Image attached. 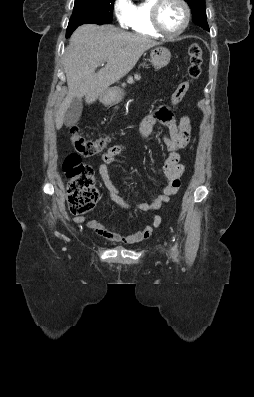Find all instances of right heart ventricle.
I'll use <instances>...</instances> for the list:
<instances>
[{
    "instance_id": "1",
    "label": "right heart ventricle",
    "mask_w": 254,
    "mask_h": 397,
    "mask_svg": "<svg viewBox=\"0 0 254 397\" xmlns=\"http://www.w3.org/2000/svg\"><path fill=\"white\" fill-rule=\"evenodd\" d=\"M153 2L154 0H139L136 3H132L129 27L133 32L150 37L160 36L151 23V6Z\"/></svg>"
}]
</instances>
